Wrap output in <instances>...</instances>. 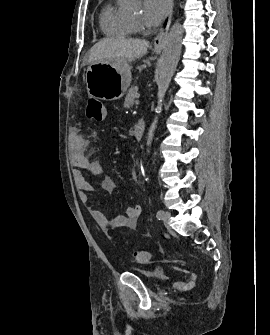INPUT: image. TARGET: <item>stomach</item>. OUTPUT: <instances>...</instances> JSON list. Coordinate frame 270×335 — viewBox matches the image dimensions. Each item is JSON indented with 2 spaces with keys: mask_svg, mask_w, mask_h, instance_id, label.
Returning a JSON list of instances; mask_svg holds the SVG:
<instances>
[{
  "mask_svg": "<svg viewBox=\"0 0 270 335\" xmlns=\"http://www.w3.org/2000/svg\"><path fill=\"white\" fill-rule=\"evenodd\" d=\"M153 52L160 54L161 48ZM130 60H114V62H92L87 68L85 82L87 94L96 100H119L127 92L131 80Z\"/></svg>",
  "mask_w": 270,
  "mask_h": 335,
  "instance_id": "0dacf381",
  "label": "stomach"
}]
</instances>
